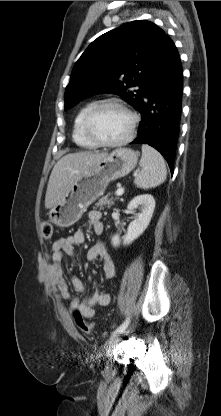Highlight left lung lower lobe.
<instances>
[{
	"instance_id": "obj_1",
	"label": "left lung lower lobe",
	"mask_w": 221,
	"mask_h": 416,
	"mask_svg": "<svg viewBox=\"0 0 221 416\" xmlns=\"http://www.w3.org/2000/svg\"><path fill=\"white\" fill-rule=\"evenodd\" d=\"M183 71L178 51L167 36L149 78L138 111L142 115L137 138L157 149L173 173L181 119Z\"/></svg>"
}]
</instances>
